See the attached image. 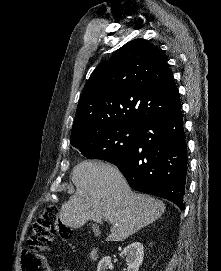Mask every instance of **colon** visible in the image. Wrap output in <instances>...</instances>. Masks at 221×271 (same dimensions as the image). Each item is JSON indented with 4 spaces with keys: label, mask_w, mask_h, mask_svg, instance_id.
Segmentation results:
<instances>
[{
    "label": "colon",
    "mask_w": 221,
    "mask_h": 271,
    "mask_svg": "<svg viewBox=\"0 0 221 271\" xmlns=\"http://www.w3.org/2000/svg\"><path fill=\"white\" fill-rule=\"evenodd\" d=\"M57 234L69 237L72 230L61 222L58 208L55 205H47L34 220L32 235L21 250L22 271H52L51 264L43 252Z\"/></svg>",
    "instance_id": "colon-1"
}]
</instances>
